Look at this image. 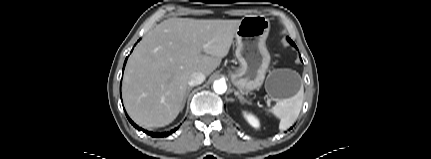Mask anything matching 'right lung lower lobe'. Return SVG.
<instances>
[{"label":"right lung lower lobe","mask_w":431,"mask_h":159,"mask_svg":"<svg viewBox=\"0 0 431 159\" xmlns=\"http://www.w3.org/2000/svg\"><path fill=\"white\" fill-rule=\"evenodd\" d=\"M127 60V59H126ZM126 60H125V64H126ZM124 64V65H125ZM126 116H127V118H128V120L130 121V123L135 127V128H137L138 130H141V131H143V132H145L146 134H148V135H150V136H152V137H166V136H168V135H170L171 133H174L176 130H177V128H175V129H173L172 131H170V132H163V133H153V132H149V131H146V130H144V129H142V128H140V127H138L129 117H128V115L126 114Z\"/></svg>","instance_id":"1"}]
</instances>
